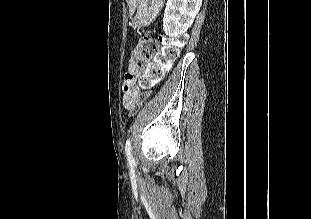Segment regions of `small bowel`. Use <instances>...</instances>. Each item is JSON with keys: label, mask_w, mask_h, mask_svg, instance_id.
I'll list each match as a JSON object with an SVG mask.
<instances>
[{"label": "small bowel", "mask_w": 311, "mask_h": 219, "mask_svg": "<svg viewBox=\"0 0 311 219\" xmlns=\"http://www.w3.org/2000/svg\"><path fill=\"white\" fill-rule=\"evenodd\" d=\"M136 77L132 73H126L122 84L123 107L130 113H135L144 101L150 96V90H140L135 86ZM157 83V82H156ZM150 84L148 87H151Z\"/></svg>", "instance_id": "c3829d8e"}]
</instances>
